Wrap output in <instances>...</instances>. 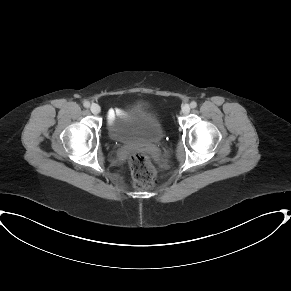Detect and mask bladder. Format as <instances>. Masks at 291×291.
<instances>
[{
    "mask_svg": "<svg viewBox=\"0 0 291 291\" xmlns=\"http://www.w3.org/2000/svg\"><path fill=\"white\" fill-rule=\"evenodd\" d=\"M108 133L116 139L133 141L143 134L153 139H160L165 129L156 110L135 104L115 116L108 125Z\"/></svg>",
    "mask_w": 291,
    "mask_h": 291,
    "instance_id": "31cf9c89",
    "label": "bladder"
}]
</instances>
